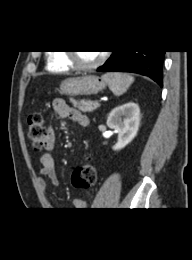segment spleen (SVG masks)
<instances>
[{
    "label": "spleen",
    "mask_w": 192,
    "mask_h": 260,
    "mask_svg": "<svg viewBox=\"0 0 192 260\" xmlns=\"http://www.w3.org/2000/svg\"><path fill=\"white\" fill-rule=\"evenodd\" d=\"M102 79L108 84L115 96L124 94L134 82L133 76L119 72L106 73Z\"/></svg>",
    "instance_id": "spleen-1"
}]
</instances>
